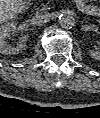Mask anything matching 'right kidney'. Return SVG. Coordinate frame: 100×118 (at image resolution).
Wrapping results in <instances>:
<instances>
[{"mask_svg": "<svg viewBox=\"0 0 100 118\" xmlns=\"http://www.w3.org/2000/svg\"><path fill=\"white\" fill-rule=\"evenodd\" d=\"M23 31V28L17 26L14 22H8L0 27V52L2 54H15L19 52L25 45L27 41V36L22 35L19 40L16 42L15 45L11 46L8 42L11 35L16 31Z\"/></svg>", "mask_w": 100, "mask_h": 118, "instance_id": "right-kidney-1", "label": "right kidney"}]
</instances>
